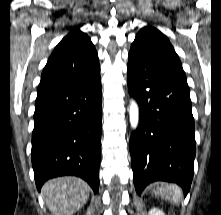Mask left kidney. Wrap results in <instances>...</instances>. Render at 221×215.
<instances>
[{
  "label": "left kidney",
  "instance_id": "5707ae66",
  "mask_svg": "<svg viewBox=\"0 0 221 215\" xmlns=\"http://www.w3.org/2000/svg\"><path fill=\"white\" fill-rule=\"evenodd\" d=\"M149 215H165L164 212L158 208H152L149 211Z\"/></svg>",
  "mask_w": 221,
  "mask_h": 215
}]
</instances>
